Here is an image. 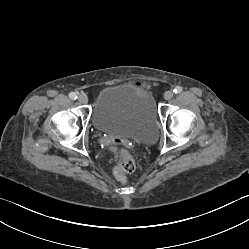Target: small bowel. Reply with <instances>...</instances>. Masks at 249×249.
I'll use <instances>...</instances> for the list:
<instances>
[{
  "label": "small bowel",
  "mask_w": 249,
  "mask_h": 249,
  "mask_svg": "<svg viewBox=\"0 0 249 249\" xmlns=\"http://www.w3.org/2000/svg\"><path fill=\"white\" fill-rule=\"evenodd\" d=\"M134 85L138 86L139 88H141L143 90H145L146 92H148V90H149V86L144 82H139L138 81V82H135Z\"/></svg>",
  "instance_id": "1"
}]
</instances>
